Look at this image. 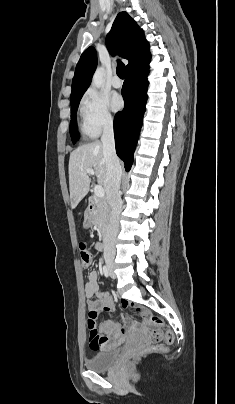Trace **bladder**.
<instances>
[{
    "instance_id": "31cf9c89",
    "label": "bladder",
    "mask_w": 235,
    "mask_h": 404,
    "mask_svg": "<svg viewBox=\"0 0 235 404\" xmlns=\"http://www.w3.org/2000/svg\"><path fill=\"white\" fill-rule=\"evenodd\" d=\"M121 348L119 346H105L86 360V366L96 372H105L120 359Z\"/></svg>"
}]
</instances>
